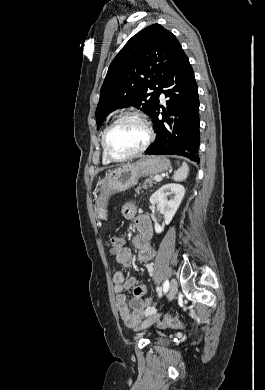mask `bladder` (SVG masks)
<instances>
[{
    "mask_svg": "<svg viewBox=\"0 0 265 390\" xmlns=\"http://www.w3.org/2000/svg\"><path fill=\"white\" fill-rule=\"evenodd\" d=\"M166 340L165 339H159L156 343L158 344V345H165L166 344Z\"/></svg>",
    "mask_w": 265,
    "mask_h": 390,
    "instance_id": "31cf9c89",
    "label": "bladder"
}]
</instances>
